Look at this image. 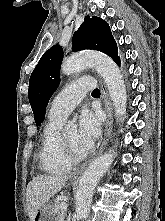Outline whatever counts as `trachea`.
Returning <instances> with one entry per match:
<instances>
[{"mask_svg":"<svg viewBox=\"0 0 165 221\" xmlns=\"http://www.w3.org/2000/svg\"><path fill=\"white\" fill-rule=\"evenodd\" d=\"M93 95H100V90L99 89H95L92 92Z\"/></svg>","mask_w":165,"mask_h":221,"instance_id":"obj_1","label":"trachea"}]
</instances>
